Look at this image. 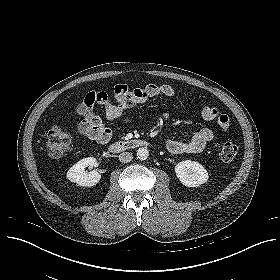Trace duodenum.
<instances>
[{
  "mask_svg": "<svg viewBox=\"0 0 280 280\" xmlns=\"http://www.w3.org/2000/svg\"><path fill=\"white\" fill-rule=\"evenodd\" d=\"M148 146V142L141 139L122 140L111 144L108 147L110 153H122L129 150L139 149Z\"/></svg>",
  "mask_w": 280,
  "mask_h": 280,
  "instance_id": "duodenum-1",
  "label": "duodenum"
}]
</instances>
